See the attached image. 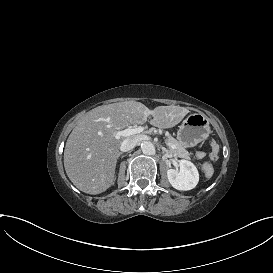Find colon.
Listing matches in <instances>:
<instances>
[{"label": "colon", "mask_w": 273, "mask_h": 273, "mask_svg": "<svg viewBox=\"0 0 273 273\" xmlns=\"http://www.w3.org/2000/svg\"><path fill=\"white\" fill-rule=\"evenodd\" d=\"M217 152H218L217 147H213V151H212L211 157H212V158L216 157Z\"/></svg>", "instance_id": "obj_1"}]
</instances>
